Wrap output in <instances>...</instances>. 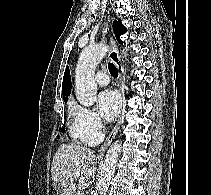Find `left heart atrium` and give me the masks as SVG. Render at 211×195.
Listing matches in <instances>:
<instances>
[{"label":"left heart atrium","mask_w":211,"mask_h":195,"mask_svg":"<svg viewBox=\"0 0 211 195\" xmlns=\"http://www.w3.org/2000/svg\"><path fill=\"white\" fill-rule=\"evenodd\" d=\"M121 100L113 90H105L98 96V108L101 116L108 122L113 121L120 110Z\"/></svg>","instance_id":"left-heart-atrium-1"}]
</instances>
